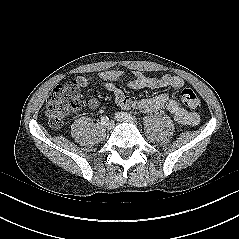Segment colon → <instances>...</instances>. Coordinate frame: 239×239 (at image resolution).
<instances>
[{"label": "colon", "instance_id": "obj_1", "mask_svg": "<svg viewBox=\"0 0 239 239\" xmlns=\"http://www.w3.org/2000/svg\"><path fill=\"white\" fill-rule=\"evenodd\" d=\"M182 103L190 109H196L200 100L191 88H184L180 93ZM81 105L79 85L75 81L58 85L48 96L45 106V115L49 127L60 129L72 112Z\"/></svg>", "mask_w": 239, "mask_h": 239}]
</instances>
